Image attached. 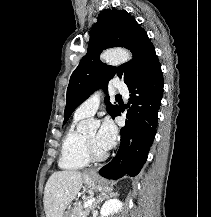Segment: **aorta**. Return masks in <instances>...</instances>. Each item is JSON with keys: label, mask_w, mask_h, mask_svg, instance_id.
<instances>
[{"label": "aorta", "mask_w": 211, "mask_h": 217, "mask_svg": "<svg viewBox=\"0 0 211 217\" xmlns=\"http://www.w3.org/2000/svg\"><path fill=\"white\" fill-rule=\"evenodd\" d=\"M131 54L125 49H113L101 54V60L112 65H119L131 59ZM85 125V123H84Z\"/></svg>", "instance_id": "1"}]
</instances>
